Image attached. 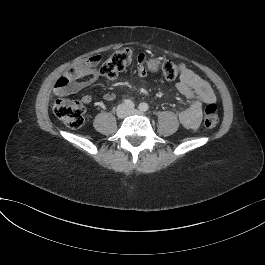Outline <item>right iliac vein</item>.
<instances>
[{"instance_id":"right-iliac-vein-1","label":"right iliac vein","mask_w":265,"mask_h":265,"mask_svg":"<svg viewBox=\"0 0 265 265\" xmlns=\"http://www.w3.org/2000/svg\"><path fill=\"white\" fill-rule=\"evenodd\" d=\"M116 113L119 118H124L127 115L128 110L124 105H119L117 107Z\"/></svg>"}]
</instances>
